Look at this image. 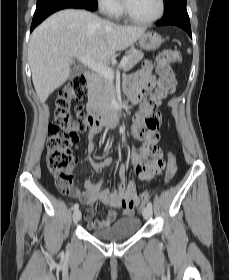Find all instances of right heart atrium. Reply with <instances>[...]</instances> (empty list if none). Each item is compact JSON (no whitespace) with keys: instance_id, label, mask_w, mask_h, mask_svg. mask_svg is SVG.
Wrapping results in <instances>:
<instances>
[{"instance_id":"obj_1","label":"right heart atrium","mask_w":229,"mask_h":280,"mask_svg":"<svg viewBox=\"0 0 229 280\" xmlns=\"http://www.w3.org/2000/svg\"><path fill=\"white\" fill-rule=\"evenodd\" d=\"M101 10L109 17H116L121 11L120 0H97Z\"/></svg>"}]
</instances>
